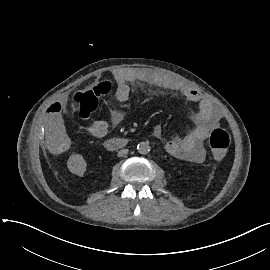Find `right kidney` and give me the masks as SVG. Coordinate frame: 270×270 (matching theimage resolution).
Listing matches in <instances>:
<instances>
[{
  "label": "right kidney",
  "instance_id": "1",
  "mask_svg": "<svg viewBox=\"0 0 270 270\" xmlns=\"http://www.w3.org/2000/svg\"><path fill=\"white\" fill-rule=\"evenodd\" d=\"M67 167L73 174L83 176L84 172L86 171V162L82 155L75 154L69 157Z\"/></svg>",
  "mask_w": 270,
  "mask_h": 270
}]
</instances>
